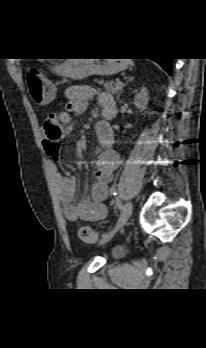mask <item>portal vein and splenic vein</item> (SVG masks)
Instances as JSON below:
<instances>
[{
	"mask_svg": "<svg viewBox=\"0 0 206 348\" xmlns=\"http://www.w3.org/2000/svg\"><path fill=\"white\" fill-rule=\"evenodd\" d=\"M120 85H121V84L118 83V82L115 84V86L118 87V88L120 87Z\"/></svg>",
	"mask_w": 206,
	"mask_h": 348,
	"instance_id": "obj_1",
	"label": "portal vein and splenic vein"
}]
</instances>
